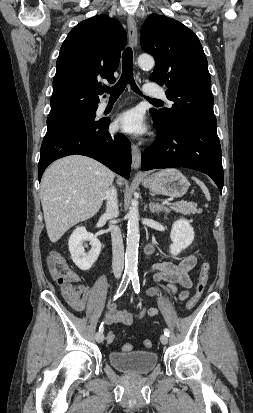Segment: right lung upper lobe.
<instances>
[{"label": "right lung upper lobe", "instance_id": "cb5924a9", "mask_svg": "<svg viewBox=\"0 0 253 413\" xmlns=\"http://www.w3.org/2000/svg\"><path fill=\"white\" fill-rule=\"evenodd\" d=\"M126 32L107 15L80 22L63 42L53 79L49 116L98 106L100 79L115 82Z\"/></svg>", "mask_w": 253, "mask_h": 413}]
</instances>
